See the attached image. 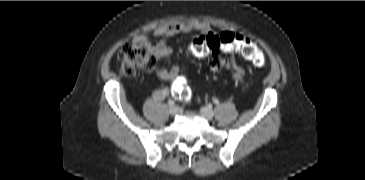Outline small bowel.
I'll list each match as a JSON object with an SVG mask.
<instances>
[{
    "label": "small bowel",
    "mask_w": 365,
    "mask_h": 180,
    "mask_svg": "<svg viewBox=\"0 0 365 180\" xmlns=\"http://www.w3.org/2000/svg\"><path fill=\"white\" fill-rule=\"evenodd\" d=\"M191 31H197L201 34L195 41H199L208 35H219L217 32L211 30L208 24L197 21H187L182 23H176L170 26H162L154 31V36L158 39L157 43L152 45L150 40L146 36H141L138 40L148 46L153 53L154 57L158 60L165 59L172 54V47L168 42L170 37H173L182 33H189ZM212 53V61L210 69L212 72H219L222 69L227 70L232 79L236 83H241L244 78V70L241 65L235 62L233 57L223 58L216 52ZM181 67L176 64H171L164 67L155 69L154 73L162 80L171 81L175 83L180 78ZM169 94L167 88L159 89L155 92V97L159 100L165 99Z\"/></svg>",
    "instance_id": "c3829d8e"
}]
</instances>
